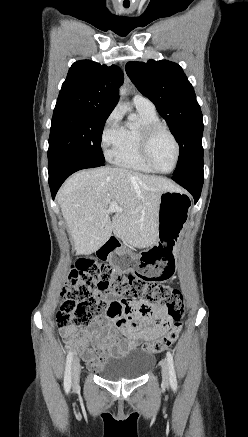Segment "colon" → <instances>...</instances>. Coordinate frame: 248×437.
Instances as JSON below:
<instances>
[{"instance_id": "obj_1", "label": "colon", "mask_w": 248, "mask_h": 437, "mask_svg": "<svg viewBox=\"0 0 248 437\" xmlns=\"http://www.w3.org/2000/svg\"><path fill=\"white\" fill-rule=\"evenodd\" d=\"M103 258H83L71 269L61 293L57 326L61 329L71 326L82 328L94 324L108 305H112L96 298L94 293L97 290L129 294V299L166 307V333L146 343L144 350L158 353L171 346L179 336L184 315V299L180 291L168 285L146 286L145 280L135 279L134 274L114 272Z\"/></svg>"}]
</instances>
